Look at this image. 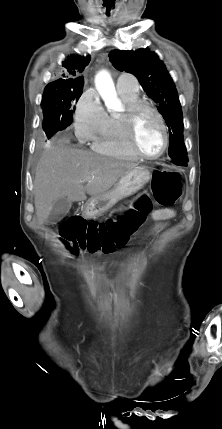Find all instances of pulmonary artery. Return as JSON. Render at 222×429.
Segmentation results:
<instances>
[{"mask_svg": "<svg viewBox=\"0 0 222 429\" xmlns=\"http://www.w3.org/2000/svg\"><path fill=\"white\" fill-rule=\"evenodd\" d=\"M117 89L119 91L138 92L139 87L134 77L122 74L117 80Z\"/></svg>", "mask_w": 222, "mask_h": 429, "instance_id": "obj_1", "label": "pulmonary artery"}]
</instances>
